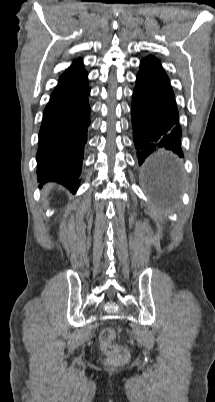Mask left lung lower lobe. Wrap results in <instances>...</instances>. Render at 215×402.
Returning a JSON list of instances; mask_svg holds the SVG:
<instances>
[{"label":"left lung lower lobe","mask_w":215,"mask_h":402,"mask_svg":"<svg viewBox=\"0 0 215 402\" xmlns=\"http://www.w3.org/2000/svg\"><path fill=\"white\" fill-rule=\"evenodd\" d=\"M134 144L139 165L154 152L171 150L183 157L179 113L169 78L155 57L141 60L131 106ZM156 161L146 171L158 177Z\"/></svg>","instance_id":"1"}]
</instances>
